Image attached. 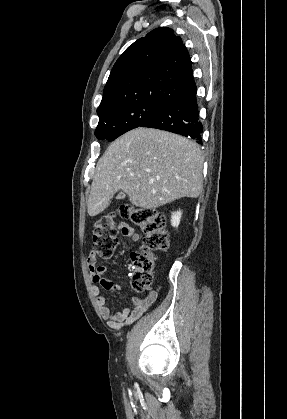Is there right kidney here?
<instances>
[{"instance_id":"1","label":"right kidney","mask_w":287,"mask_h":419,"mask_svg":"<svg viewBox=\"0 0 287 419\" xmlns=\"http://www.w3.org/2000/svg\"><path fill=\"white\" fill-rule=\"evenodd\" d=\"M181 216H182V212L180 210L172 213L171 224L173 227H178V225L180 224Z\"/></svg>"}]
</instances>
